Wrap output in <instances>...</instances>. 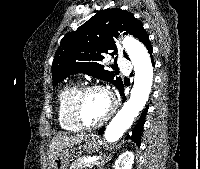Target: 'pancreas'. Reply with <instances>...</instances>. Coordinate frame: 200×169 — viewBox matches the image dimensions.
<instances>
[{
  "label": "pancreas",
  "instance_id": "obj_1",
  "mask_svg": "<svg viewBox=\"0 0 200 169\" xmlns=\"http://www.w3.org/2000/svg\"><path fill=\"white\" fill-rule=\"evenodd\" d=\"M93 165V163L85 162L81 159H78L71 164L70 169H91Z\"/></svg>",
  "mask_w": 200,
  "mask_h": 169
}]
</instances>
